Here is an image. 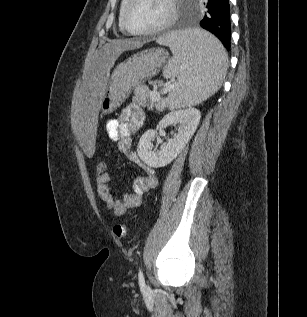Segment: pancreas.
I'll return each instance as SVG.
<instances>
[{
  "instance_id": "pancreas-1",
  "label": "pancreas",
  "mask_w": 307,
  "mask_h": 317,
  "mask_svg": "<svg viewBox=\"0 0 307 317\" xmlns=\"http://www.w3.org/2000/svg\"><path fill=\"white\" fill-rule=\"evenodd\" d=\"M135 93L141 95V98L144 99V105L147 106L149 110H152L154 108V101L146 100L150 95V91L147 89V87H138Z\"/></svg>"
}]
</instances>
